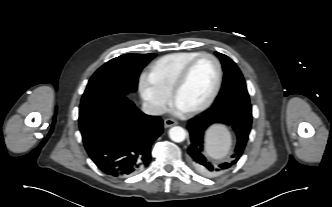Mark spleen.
Wrapping results in <instances>:
<instances>
[{
	"label": "spleen",
	"mask_w": 332,
	"mask_h": 207,
	"mask_svg": "<svg viewBox=\"0 0 332 207\" xmlns=\"http://www.w3.org/2000/svg\"><path fill=\"white\" fill-rule=\"evenodd\" d=\"M231 147V135L224 128H216L207 134L206 151L214 159L224 158Z\"/></svg>",
	"instance_id": "1"
}]
</instances>
